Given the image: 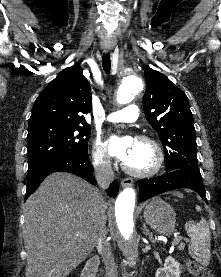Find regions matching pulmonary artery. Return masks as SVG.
Listing matches in <instances>:
<instances>
[{
	"mask_svg": "<svg viewBox=\"0 0 221 277\" xmlns=\"http://www.w3.org/2000/svg\"><path fill=\"white\" fill-rule=\"evenodd\" d=\"M140 115L137 105H128L122 110L112 112L107 115L106 119L110 122H135Z\"/></svg>",
	"mask_w": 221,
	"mask_h": 277,
	"instance_id": "pulmonary-artery-1",
	"label": "pulmonary artery"
}]
</instances>
